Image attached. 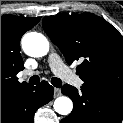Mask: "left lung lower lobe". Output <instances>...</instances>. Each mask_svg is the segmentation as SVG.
Returning <instances> with one entry per match:
<instances>
[{"label":"left lung lower lobe","instance_id":"obj_1","mask_svg":"<svg viewBox=\"0 0 123 123\" xmlns=\"http://www.w3.org/2000/svg\"><path fill=\"white\" fill-rule=\"evenodd\" d=\"M61 92L69 96L74 108L61 123H121L123 119V97L102 93L93 88L75 87L65 84Z\"/></svg>","mask_w":123,"mask_h":123}]
</instances>
